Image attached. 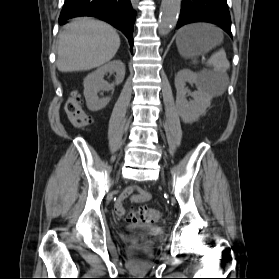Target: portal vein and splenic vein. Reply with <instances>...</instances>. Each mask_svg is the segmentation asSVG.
Masks as SVG:
<instances>
[{
  "instance_id": "obj_1",
  "label": "portal vein and splenic vein",
  "mask_w": 279,
  "mask_h": 279,
  "mask_svg": "<svg viewBox=\"0 0 279 279\" xmlns=\"http://www.w3.org/2000/svg\"><path fill=\"white\" fill-rule=\"evenodd\" d=\"M201 60H202V61H205V60H206V58H205L204 55H202Z\"/></svg>"
}]
</instances>
